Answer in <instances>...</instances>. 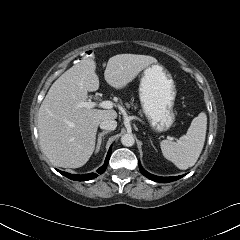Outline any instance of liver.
<instances>
[{
  "label": "liver",
  "mask_w": 240,
  "mask_h": 240,
  "mask_svg": "<svg viewBox=\"0 0 240 240\" xmlns=\"http://www.w3.org/2000/svg\"><path fill=\"white\" fill-rule=\"evenodd\" d=\"M157 63L148 55L119 54L108 60L104 78L115 89L124 88L146 67ZM96 62L85 58L65 71L50 87L38 113L42 152L58 167L79 168L94 152L101 121L115 119L114 110L79 108L88 92L99 88Z\"/></svg>",
  "instance_id": "1"
}]
</instances>
